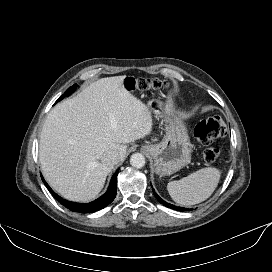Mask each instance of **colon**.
<instances>
[{
    "label": "colon",
    "mask_w": 272,
    "mask_h": 272,
    "mask_svg": "<svg viewBox=\"0 0 272 272\" xmlns=\"http://www.w3.org/2000/svg\"><path fill=\"white\" fill-rule=\"evenodd\" d=\"M125 86L132 91H161L168 87L165 81L151 78H127ZM226 133V125L219 116H214L199 122L194 128V137L203 146L209 145ZM219 155L218 149L208 147L203 151L206 162H214Z\"/></svg>",
    "instance_id": "obj_1"
}]
</instances>
